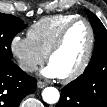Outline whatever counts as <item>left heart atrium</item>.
I'll return each mask as SVG.
<instances>
[{"label": "left heart atrium", "mask_w": 107, "mask_h": 107, "mask_svg": "<svg viewBox=\"0 0 107 107\" xmlns=\"http://www.w3.org/2000/svg\"><path fill=\"white\" fill-rule=\"evenodd\" d=\"M42 74L48 78H56L59 77L57 71L55 70V68L49 64L48 66H46L43 70H42Z\"/></svg>", "instance_id": "1"}]
</instances>
